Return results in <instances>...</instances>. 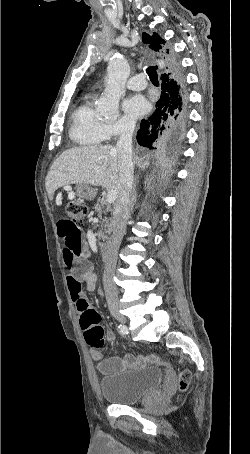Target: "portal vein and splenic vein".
I'll return each mask as SVG.
<instances>
[{
    "mask_svg": "<svg viewBox=\"0 0 250 454\" xmlns=\"http://www.w3.org/2000/svg\"><path fill=\"white\" fill-rule=\"evenodd\" d=\"M117 199V192L114 190H109L106 196L107 203L111 204L114 203Z\"/></svg>",
    "mask_w": 250,
    "mask_h": 454,
    "instance_id": "portal-vein-and-splenic-vein-1",
    "label": "portal vein and splenic vein"
}]
</instances>
